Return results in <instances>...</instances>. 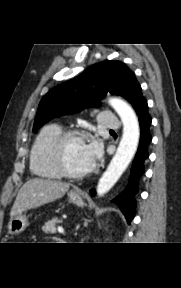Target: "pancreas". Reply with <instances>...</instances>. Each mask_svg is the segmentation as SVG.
<instances>
[{
	"label": "pancreas",
	"instance_id": "1",
	"mask_svg": "<svg viewBox=\"0 0 181 288\" xmlns=\"http://www.w3.org/2000/svg\"><path fill=\"white\" fill-rule=\"evenodd\" d=\"M62 223V219L52 218L51 220L47 221L45 225L42 227V230L46 234H54L56 233V225Z\"/></svg>",
	"mask_w": 181,
	"mask_h": 288
}]
</instances>
